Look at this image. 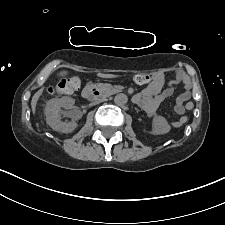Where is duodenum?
Segmentation results:
<instances>
[{
  "mask_svg": "<svg viewBox=\"0 0 225 225\" xmlns=\"http://www.w3.org/2000/svg\"><path fill=\"white\" fill-rule=\"evenodd\" d=\"M100 93L95 89L93 88L92 86H87L83 91H82V96L85 98V99H90V98H93L97 95H99Z\"/></svg>",
  "mask_w": 225,
  "mask_h": 225,
  "instance_id": "obj_1",
  "label": "duodenum"
}]
</instances>
